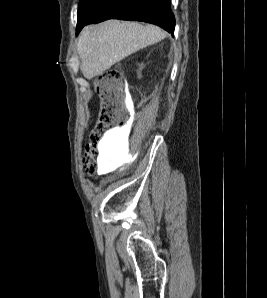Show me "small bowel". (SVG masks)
Instances as JSON below:
<instances>
[{"label": "small bowel", "instance_id": "c3829d8e", "mask_svg": "<svg viewBox=\"0 0 267 298\" xmlns=\"http://www.w3.org/2000/svg\"><path fill=\"white\" fill-rule=\"evenodd\" d=\"M118 137V132L116 130L110 131L107 136L106 139L108 141V143H113Z\"/></svg>", "mask_w": 267, "mask_h": 298}]
</instances>
